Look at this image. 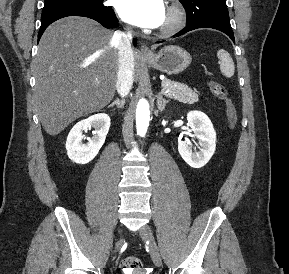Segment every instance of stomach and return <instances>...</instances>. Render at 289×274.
Wrapping results in <instances>:
<instances>
[{"label": "stomach", "mask_w": 289, "mask_h": 274, "mask_svg": "<svg viewBox=\"0 0 289 274\" xmlns=\"http://www.w3.org/2000/svg\"><path fill=\"white\" fill-rule=\"evenodd\" d=\"M145 60L153 68L168 75H175L183 72L190 65L192 58L183 48L170 45L152 56L145 57Z\"/></svg>", "instance_id": "stomach-1"}]
</instances>
